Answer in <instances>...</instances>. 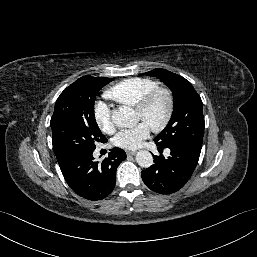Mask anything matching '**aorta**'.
Wrapping results in <instances>:
<instances>
[{
    "label": "aorta",
    "mask_w": 257,
    "mask_h": 257,
    "mask_svg": "<svg viewBox=\"0 0 257 257\" xmlns=\"http://www.w3.org/2000/svg\"><path fill=\"white\" fill-rule=\"evenodd\" d=\"M111 119L115 126L121 128L132 127L138 122L134 110L126 106L113 110ZM136 161L139 166L149 168L153 164V156L147 150H140L136 155Z\"/></svg>",
    "instance_id": "1"
}]
</instances>
